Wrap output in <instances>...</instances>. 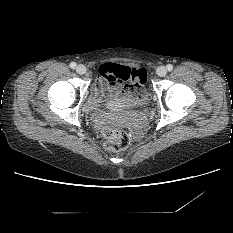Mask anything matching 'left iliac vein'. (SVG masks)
<instances>
[{"instance_id": "obj_1", "label": "left iliac vein", "mask_w": 233, "mask_h": 233, "mask_svg": "<svg viewBox=\"0 0 233 233\" xmlns=\"http://www.w3.org/2000/svg\"><path fill=\"white\" fill-rule=\"evenodd\" d=\"M157 75L158 76H165L166 75V73H167V69H166V67L165 66H159L158 68H157Z\"/></svg>"}]
</instances>
